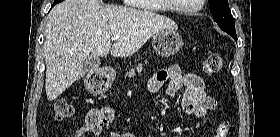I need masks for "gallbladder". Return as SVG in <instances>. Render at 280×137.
<instances>
[{"label":"gallbladder","instance_id":"bac80fb5","mask_svg":"<svg viewBox=\"0 0 280 137\" xmlns=\"http://www.w3.org/2000/svg\"><path fill=\"white\" fill-rule=\"evenodd\" d=\"M100 64V59L94 55H88L81 61V65L86 72L96 71L100 67Z\"/></svg>","mask_w":280,"mask_h":137}]
</instances>
